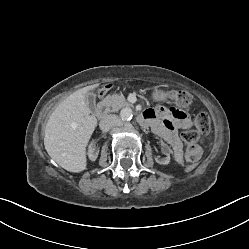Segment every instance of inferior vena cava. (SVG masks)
Listing matches in <instances>:
<instances>
[{"instance_id": "obj_1", "label": "inferior vena cava", "mask_w": 249, "mask_h": 249, "mask_svg": "<svg viewBox=\"0 0 249 249\" xmlns=\"http://www.w3.org/2000/svg\"><path fill=\"white\" fill-rule=\"evenodd\" d=\"M121 124V120L116 115H107L104 117L99 124L100 129L103 132H107L112 127L119 126Z\"/></svg>"}]
</instances>
